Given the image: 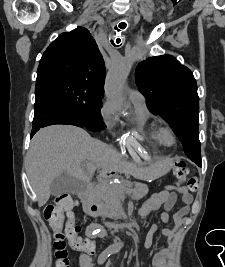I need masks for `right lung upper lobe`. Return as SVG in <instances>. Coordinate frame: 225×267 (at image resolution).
<instances>
[{
  "instance_id": "cb5924a9",
  "label": "right lung upper lobe",
  "mask_w": 225,
  "mask_h": 267,
  "mask_svg": "<svg viewBox=\"0 0 225 267\" xmlns=\"http://www.w3.org/2000/svg\"><path fill=\"white\" fill-rule=\"evenodd\" d=\"M50 76L83 81L103 92L104 61L86 28L62 33L49 45L40 60L37 80Z\"/></svg>"
}]
</instances>
